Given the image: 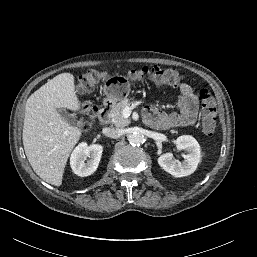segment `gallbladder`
<instances>
[{
    "label": "gallbladder",
    "mask_w": 257,
    "mask_h": 257,
    "mask_svg": "<svg viewBox=\"0 0 257 257\" xmlns=\"http://www.w3.org/2000/svg\"><path fill=\"white\" fill-rule=\"evenodd\" d=\"M57 111L63 120H65L66 122H68L71 125H76L77 120L73 117V115H71L69 112H67L66 109L59 108Z\"/></svg>",
    "instance_id": "bac80fb5"
}]
</instances>
